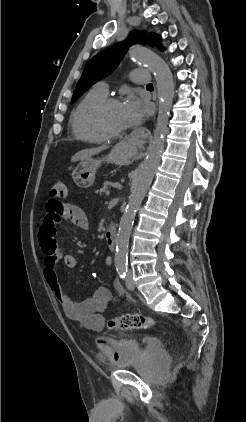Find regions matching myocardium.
Instances as JSON below:
<instances>
[{
  "label": "myocardium",
  "instance_id": "f54148a6",
  "mask_svg": "<svg viewBox=\"0 0 246 422\" xmlns=\"http://www.w3.org/2000/svg\"><path fill=\"white\" fill-rule=\"evenodd\" d=\"M120 104V100L115 97H106L103 99L93 111V120L97 129L108 139L120 138L124 135L125 131H115L108 127L105 120V113L112 105Z\"/></svg>",
  "mask_w": 246,
  "mask_h": 422
}]
</instances>
